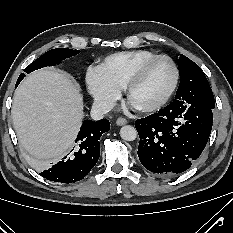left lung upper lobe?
Wrapping results in <instances>:
<instances>
[{
	"mask_svg": "<svg viewBox=\"0 0 233 233\" xmlns=\"http://www.w3.org/2000/svg\"><path fill=\"white\" fill-rule=\"evenodd\" d=\"M178 64L181 81L174 102L214 109V96L200 67L182 54Z\"/></svg>",
	"mask_w": 233,
	"mask_h": 233,
	"instance_id": "obj_1",
	"label": "left lung upper lobe"
}]
</instances>
